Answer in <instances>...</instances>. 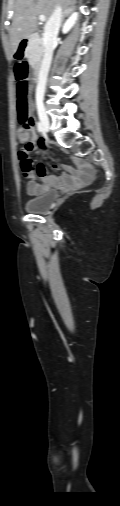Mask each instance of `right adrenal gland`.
Instances as JSON below:
<instances>
[{
  "label": "right adrenal gland",
  "mask_w": 120,
  "mask_h": 506,
  "mask_svg": "<svg viewBox=\"0 0 120 506\" xmlns=\"http://www.w3.org/2000/svg\"><path fill=\"white\" fill-rule=\"evenodd\" d=\"M74 10H75V3L74 2L66 5L63 10L62 22L64 21L65 17H67Z\"/></svg>",
  "instance_id": "2a0ac1e0"
}]
</instances>
